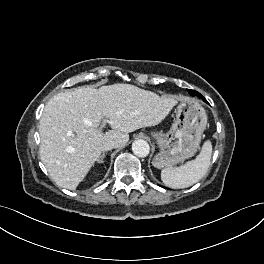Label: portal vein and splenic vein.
<instances>
[{"label": "portal vein and splenic vein", "instance_id": "obj_1", "mask_svg": "<svg viewBox=\"0 0 264 264\" xmlns=\"http://www.w3.org/2000/svg\"><path fill=\"white\" fill-rule=\"evenodd\" d=\"M107 122H108V120L104 119L103 125L99 129L101 130L103 128L104 124L107 123Z\"/></svg>", "mask_w": 264, "mask_h": 264}]
</instances>
